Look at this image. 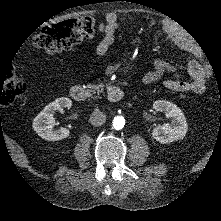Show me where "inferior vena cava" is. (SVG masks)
<instances>
[{
    "label": "inferior vena cava",
    "mask_w": 221,
    "mask_h": 221,
    "mask_svg": "<svg viewBox=\"0 0 221 221\" xmlns=\"http://www.w3.org/2000/svg\"><path fill=\"white\" fill-rule=\"evenodd\" d=\"M89 120L93 126L99 127L106 123V115L103 112L97 111L90 115Z\"/></svg>",
    "instance_id": "602c4592"
}]
</instances>
